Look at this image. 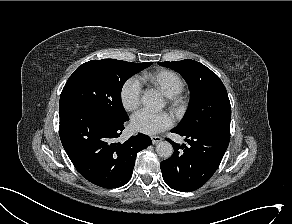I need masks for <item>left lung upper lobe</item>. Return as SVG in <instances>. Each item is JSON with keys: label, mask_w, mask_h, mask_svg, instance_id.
<instances>
[{"label": "left lung upper lobe", "mask_w": 292, "mask_h": 224, "mask_svg": "<svg viewBox=\"0 0 292 224\" xmlns=\"http://www.w3.org/2000/svg\"><path fill=\"white\" fill-rule=\"evenodd\" d=\"M158 64L180 73L190 89L189 111L176 130L186 134H230V101L225 86L215 73L194 60Z\"/></svg>", "instance_id": "left-lung-upper-lobe-1"}]
</instances>
